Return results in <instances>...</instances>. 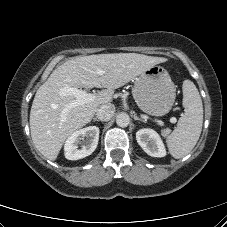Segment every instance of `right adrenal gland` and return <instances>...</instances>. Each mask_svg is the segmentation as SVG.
<instances>
[{
  "mask_svg": "<svg viewBox=\"0 0 227 227\" xmlns=\"http://www.w3.org/2000/svg\"><path fill=\"white\" fill-rule=\"evenodd\" d=\"M93 121H97V122H99L100 120H99V119H97V118H93Z\"/></svg>",
  "mask_w": 227,
  "mask_h": 227,
  "instance_id": "2a0ac1e0",
  "label": "right adrenal gland"
}]
</instances>
